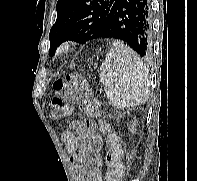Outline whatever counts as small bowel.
<instances>
[{
    "instance_id": "obj_1",
    "label": "small bowel",
    "mask_w": 197,
    "mask_h": 181,
    "mask_svg": "<svg viewBox=\"0 0 197 181\" xmlns=\"http://www.w3.org/2000/svg\"><path fill=\"white\" fill-rule=\"evenodd\" d=\"M72 128L76 134L70 130ZM62 139L75 164L77 181H102L100 152L103 140L97 132V125L88 120L73 122L63 132Z\"/></svg>"
}]
</instances>
